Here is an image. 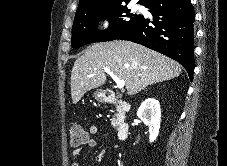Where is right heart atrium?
I'll list each match as a JSON object with an SVG mask.
<instances>
[{
    "label": "right heart atrium",
    "mask_w": 227,
    "mask_h": 166,
    "mask_svg": "<svg viewBox=\"0 0 227 166\" xmlns=\"http://www.w3.org/2000/svg\"><path fill=\"white\" fill-rule=\"evenodd\" d=\"M100 26L103 30L109 31L112 27V21L108 17H104L100 21Z\"/></svg>",
    "instance_id": "right-heart-atrium-1"
}]
</instances>
